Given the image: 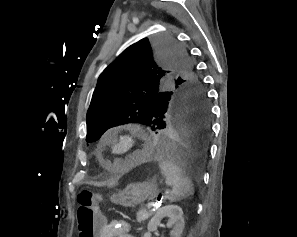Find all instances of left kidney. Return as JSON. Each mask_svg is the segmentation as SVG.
<instances>
[{
	"instance_id": "left-kidney-1",
	"label": "left kidney",
	"mask_w": 297,
	"mask_h": 237,
	"mask_svg": "<svg viewBox=\"0 0 297 237\" xmlns=\"http://www.w3.org/2000/svg\"><path fill=\"white\" fill-rule=\"evenodd\" d=\"M165 217L169 218L167 227L172 228L170 237H181L185 222L182 208L177 205H167L159 208L149 221L147 226L148 232L143 237H152V232L157 230L161 220Z\"/></svg>"
}]
</instances>
